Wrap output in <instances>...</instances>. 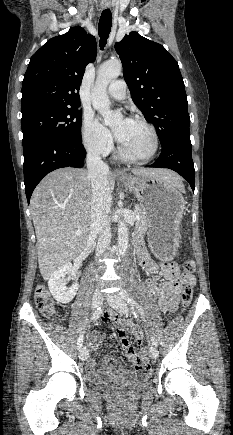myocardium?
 Instances as JSON below:
<instances>
[{
    "mask_svg": "<svg viewBox=\"0 0 233 435\" xmlns=\"http://www.w3.org/2000/svg\"><path fill=\"white\" fill-rule=\"evenodd\" d=\"M129 120L143 124L149 130L152 137V149L144 157H133L125 152L120 142H118V153L120 158L129 163L145 164L150 162L157 154L159 148V138L155 127L145 118L140 116H132Z\"/></svg>",
    "mask_w": 233,
    "mask_h": 435,
    "instance_id": "myocardium-1",
    "label": "myocardium"
}]
</instances>
